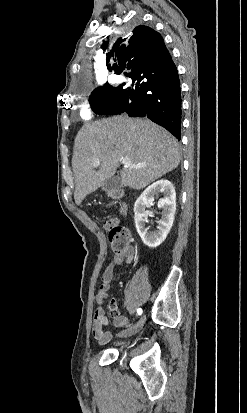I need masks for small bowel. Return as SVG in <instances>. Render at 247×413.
<instances>
[{"label": "small bowel", "mask_w": 247, "mask_h": 413, "mask_svg": "<svg viewBox=\"0 0 247 413\" xmlns=\"http://www.w3.org/2000/svg\"><path fill=\"white\" fill-rule=\"evenodd\" d=\"M125 260L127 265H133L135 262V250L132 247L123 252L114 253L110 262L107 264L102 277L101 285L96 294V309L94 311L92 335L99 345H106L111 340V333L105 330L107 318L105 316V302L108 298L110 285L114 277L115 269L122 261ZM108 311L116 327L127 324V319L120 315L115 298L111 299L108 304Z\"/></svg>", "instance_id": "1"}]
</instances>
